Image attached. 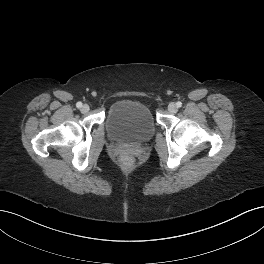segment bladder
<instances>
[{"mask_svg":"<svg viewBox=\"0 0 264 264\" xmlns=\"http://www.w3.org/2000/svg\"><path fill=\"white\" fill-rule=\"evenodd\" d=\"M108 137L119 144L141 145L152 139L155 122L150 109L135 100L113 103L105 117Z\"/></svg>","mask_w":264,"mask_h":264,"instance_id":"31cf9c89","label":"bladder"}]
</instances>
